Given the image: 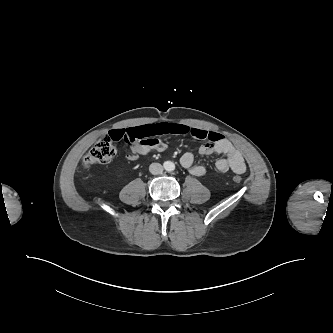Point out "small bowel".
Listing matches in <instances>:
<instances>
[{
	"instance_id": "obj_1",
	"label": "small bowel",
	"mask_w": 333,
	"mask_h": 333,
	"mask_svg": "<svg viewBox=\"0 0 333 333\" xmlns=\"http://www.w3.org/2000/svg\"><path fill=\"white\" fill-rule=\"evenodd\" d=\"M175 134L190 135L204 143L199 147L201 155H223L217 160L215 166L219 173L226 174L232 171L236 174L246 172V164L241 153L223 135L213 131L190 127L179 123H153L141 126L114 129L104 137L112 141H124L130 146L127 154L129 160H135L141 154H146L154 149L163 150L164 145L156 138L157 136ZM181 165L194 176H203L206 168L203 165L195 164L194 155L186 152L180 159Z\"/></svg>"
}]
</instances>
